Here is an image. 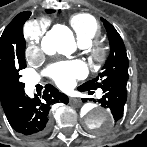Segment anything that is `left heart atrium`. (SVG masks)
Masks as SVG:
<instances>
[{"label": "left heart atrium", "mask_w": 147, "mask_h": 147, "mask_svg": "<svg viewBox=\"0 0 147 147\" xmlns=\"http://www.w3.org/2000/svg\"><path fill=\"white\" fill-rule=\"evenodd\" d=\"M85 74L86 67L81 61L59 63L50 69V77L63 89L72 87L76 79L83 78Z\"/></svg>", "instance_id": "39dd6f15"}]
</instances>
